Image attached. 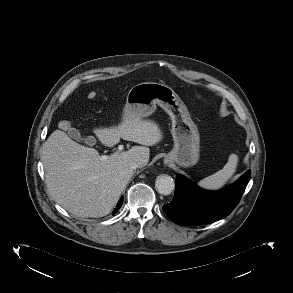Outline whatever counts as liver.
I'll use <instances>...</instances> for the list:
<instances>
[{"mask_svg":"<svg viewBox=\"0 0 293 293\" xmlns=\"http://www.w3.org/2000/svg\"><path fill=\"white\" fill-rule=\"evenodd\" d=\"M99 141L113 147L120 138L144 146L116 152L106 160L94 148L73 141L64 131L55 130L43 144L42 163L47 188L56 203L77 217H103L116 205L133 175L130 162L147 165L150 150L163 138L152 121L122 120L118 127L94 130Z\"/></svg>","mask_w":293,"mask_h":293,"instance_id":"1","label":"liver"}]
</instances>
